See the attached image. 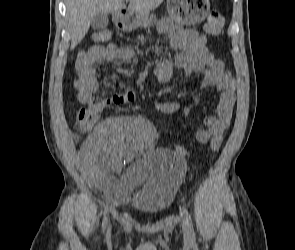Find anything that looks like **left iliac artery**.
Listing matches in <instances>:
<instances>
[{
  "instance_id": "1",
  "label": "left iliac artery",
  "mask_w": 295,
  "mask_h": 250,
  "mask_svg": "<svg viewBox=\"0 0 295 250\" xmlns=\"http://www.w3.org/2000/svg\"><path fill=\"white\" fill-rule=\"evenodd\" d=\"M184 215H185V221H186L187 226L189 228L190 236H191L192 239H194L195 234H194L192 219H191V216L189 215V213H188V211L186 209H184Z\"/></svg>"
}]
</instances>
